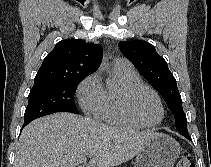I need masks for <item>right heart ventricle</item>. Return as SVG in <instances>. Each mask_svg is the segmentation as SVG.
I'll return each mask as SVG.
<instances>
[{
	"mask_svg": "<svg viewBox=\"0 0 211 167\" xmlns=\"http://www.w3.org/2000/svg\"><path fill=\"white\" fill-rule=\"evenodd\" d=\"M115 77L120 83L117 90H104L102 108L95 117L109 125L135 129L138 125L130 121L121 111L119 94L125 87L142 83L139 75L134 70H120L114 68Z\"/></svg>",
	"mask_w": 211,
	"mask_h": 167,
	"instance_id": "right-heart-ventricle-1",
	"label": "right heart ventricle"
}]
</instances>
